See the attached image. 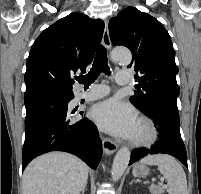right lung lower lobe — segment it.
Returning <instances> with one entry per match:
<instances>
[{
  "mask_svg": "<svg viewBox=\"0 0 201 194\" xmlns=\"http://www.w3.org/2000/svg\"><path fill=\"white\" fill-rule=\"evenodd\" d=\"M73 98L72 92L50 90L24 94L26 118L23 169L32 159L50 151L69 152L96 169L102 156V143L96 126L88 119L70 123L67 110Z\"/></svg>",
  "mask_w": 201,
  "mask_h": 194,
  "instance_id": "right-lung-lower-lobe-1",
  "label": "right lung lower lobe"
}]
</instances>
